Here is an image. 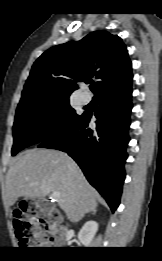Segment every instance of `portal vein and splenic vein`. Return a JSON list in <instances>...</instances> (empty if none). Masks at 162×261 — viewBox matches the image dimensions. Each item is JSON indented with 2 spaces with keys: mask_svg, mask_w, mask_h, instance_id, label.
<instances>
[{
  "mask_svg": "<svg viewBox=\"0 0 162 261\" xmlns=\"http://www.w3.org/2000/svg\"><path fill=\"white\" fill-rule=\"evenodd\" d=\"M51 197L55 200L58 201L60 199V193L59 192H52Z\"/></svg>",
  "mask_w": 162,
  "mask_h": 261,
  "instance_id": "18ae733b",
  "label": "portal vein and splenic vein"
}]
</instances>
